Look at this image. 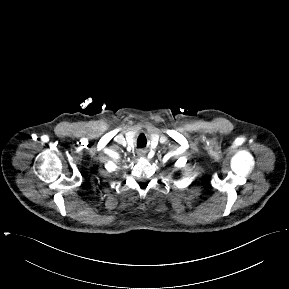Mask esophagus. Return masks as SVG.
Returning a JSON list of instances; mask_svg holds the SVG:
<instances>
[{
	"instance_id": "1",
	"label": "esophagus",
	"mask_w": 289,
	"mask_h": 289,
	"mask_svg": "<svg viewBox=\"0 0 289 289\" xmlns=\"http://www.w3.org/2000/svg\"><path fill=\"white\" fill-rule=\"evenodd\" d=\"M145 151L144 150H139L138 152H137V154L139 155V156H144L145 155Z\"/></svg>"
}]
</instances>
